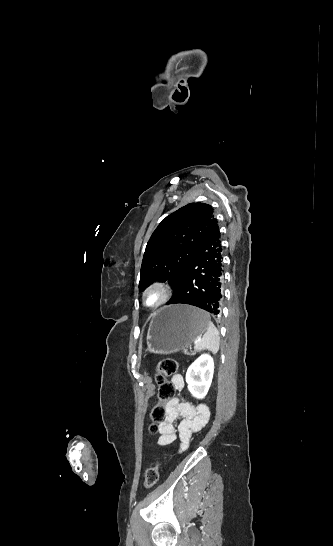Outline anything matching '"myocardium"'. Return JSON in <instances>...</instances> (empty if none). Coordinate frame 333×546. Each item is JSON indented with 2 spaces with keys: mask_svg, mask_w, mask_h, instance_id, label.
<instances>
[{
  "mask_svg": "<svg viewBox=\"0 0 333 546\" xmlns=\"http://www.w3.org/2000/svg\"><path fill=\"white\" fill-rule=\"evenodd\" d=\"M153 290H158L161 293V299L156 304L151 305L148 303V294ZM171 294L172 289L168 283L162 280H155L144 289L142 293V300L146 307L158 308L164 305L169 300Z\"/></svg>",
  "mask_w": 333,
  "mask_h": 546,
  "instance_id": "myocardium-1",
  "label": "myocardium"
}]
</instances>
